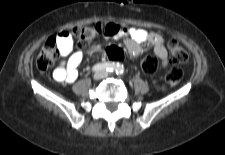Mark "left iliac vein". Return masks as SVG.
Returning a JSON list of instances; mask_svg holds the SVG:
<instances>
[{"instance_id": "obj_1", "label": "left iliac vein", "mask_w": 225, "mask_h": 155, "mask_svg": "<svg viewBox=\"0 0 225 155\" xmlns=\"http://www.w3.org/2000/svg\"><path fill=\"white\" fill-rule=\"evenodd\" d=\"M108 76V73L107 72H104V77Z\"/></svg>"}]
</instances>
